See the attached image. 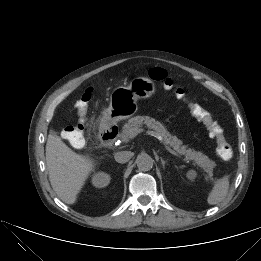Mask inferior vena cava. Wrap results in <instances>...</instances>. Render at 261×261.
<instances>
[{
    "label": "inferior vena cava",
    "mask_w": 261,
    "mask_h": 261,
    "mask_svg": "<svg viewBox=\"0 0 261 261\" xmlns=\"http://www.w3.org/2000/svg\"><path fill=\"white\" fill-rule=\"evenodd\" d=\"M132 155L133 154L130 151H121L115 153L114 158L118 163L123 164L128 162L131 159Z\"/></svg>",
    "instance_id": "602c4592"
}]
</instances>
